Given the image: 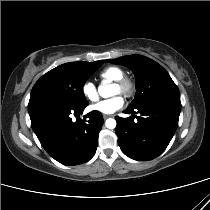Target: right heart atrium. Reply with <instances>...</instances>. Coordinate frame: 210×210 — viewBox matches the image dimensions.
I'll list each match as a JSON object with an SVG mask.
<instances>
[{"label":"right heart atrium","instance_id":"1","mask_svg":"<svg viewBox=\"0 0 210 210\" xmlns=\"http://www.w3.org/2000/svg\"><path fill=\"white\" fill-rule=\"evenodd\" d=\"M83 97L89 102H95L99 95L96 85L91 80H85L81 86Z\"/></svg>","mask_w":210,"mask_h":210}]
</instances>
